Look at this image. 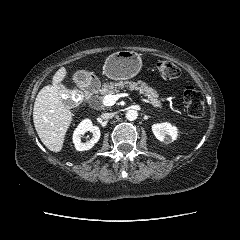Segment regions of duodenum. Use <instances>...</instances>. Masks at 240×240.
I'll return each instance as SVG.
<instances>
[{
    "label": "duodenum",
    "mask_w": 240,
    "mask_h": 240,
    "mask_svg": "<svg viewBox=\"0 0 240 240\" xmlns=\"http://www.w3.org/2000/svg\"><path fill=\"white\" fill-rule=\"evenodd\" d=\"M83 88L85 89V93L87 96H91L97 92L99 84L93 78H88L83 82Z\"/></svg>",
    "instance_id": "obj_1"
}]
</instances>
